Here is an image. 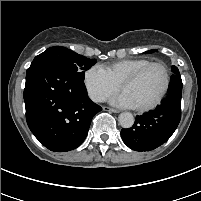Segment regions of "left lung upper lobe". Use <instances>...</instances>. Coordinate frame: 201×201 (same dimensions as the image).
I'll use <instances>...</instances> for the list:
<instances>
[{"instance_id":"obj_1","label":"left lung upper lobe","mask_w":201,"mask_h":201,"mask_svg":"<svg viewBox=\"0 0 201 201\" xmlns=\"http://www.w3.org/2000/svg\"><path fill=\"white\" fill-rule=\"evenodd\" d=\"M153 52H155L154 49H153V50H149V51H147V52H145V53L148 54V53H153ZM171 70H172L173 74H178V73H179L178 68L175 67V66H172V67H171Z\"/></svg>"}]
</instances>
